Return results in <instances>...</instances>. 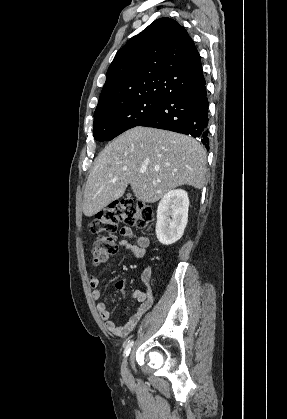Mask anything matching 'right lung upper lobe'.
Wrapping results in <instances>:
<instances>
[{
	"mask_svg": "<svg viewBox=\"0 0 287 419\" xmlns=\"http://www.w3.org/2000/svg\"><path fill=\"white\" fill-rule=\"evenodd\" d=\"M204 80L201 57L185 28L160 18L117 52L95 113L137 99H164Z\"/></svg>",
	"mask_w": 287,
	"mask_h": 419,
	"instance_id": "right-lung-upper-lobe-1",
	"label": "right lung upper lobe"
}]
</instances>
